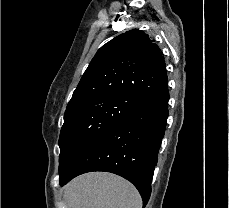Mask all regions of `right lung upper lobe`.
<instances>
[{"instance_id": "1", "label": "right lung upper lobe", "mask_w": 229, "mask_h": 208, "mask_svg": "<svg viewBox=\"0 0 229 208\" xmlns=\"http://www.w3.org/2000/svg\"><path fill=\"white\" fill-rule=\"evenodd\" d=\"M167 88V72L160 48L143 31L130 30L97 51L66 111L104 95H123L143 104Z\"/></svg>"}]
</instances>
